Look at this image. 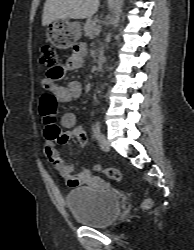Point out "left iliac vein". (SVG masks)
<instances>
[{
	"label": "left iliac vein",
	"instance_id": "4c4485c4",
	"mask_svg": "<svg viewBox=\"0 0 194 250\" xmlns=\"http://www.w3.org/2000/svg\"><path fill=\"white\" fill-rule=\"evenodd\" d=\"M99 146L103 151H109L110 145L104 134L99 136Z\"/></svg>",
	"mask_w": 194,
	"mask_h": 250
}]
</instances>
